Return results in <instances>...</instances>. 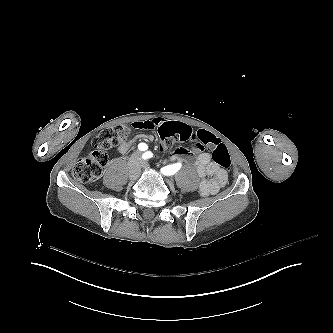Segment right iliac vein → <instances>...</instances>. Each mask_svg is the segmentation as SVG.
Listing matches in <instances>:
<instances>
[{
    "label": "right iliac vein",
    "mask_w": 333,
    "mask_h": 333,
    "mask_svg": "<svg viewBox=\"0 0 333 333\" xmlns=\"http://www.w3.org/2000/svg\"><path fill=\"white\" fill-rule=\"evenodd\" d=\"M130 169L128 166V174L130 179H137L140 175V165L139 164H135V162H130Z\"/></svg>",
    "instance_id": "1"
}]
</instances>
